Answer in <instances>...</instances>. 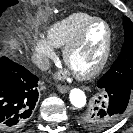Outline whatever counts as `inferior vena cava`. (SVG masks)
Instances as JSON below:
<instances>
[{
  "mask_svg": "<svg viewBox=\"0 0 133 133\" xmlns=\"http://www.w3.org/2000/svg\"><path fill=\"white\" fill-rule=\"evenodd\" d=\"M32 61L42 71H46L50 67L49 59L42 54H34L32 56Z\"/></svg>",
  "mask_w": 133,
  "mask_h": 133,
  "instance_id": "obj_1",
  "label": "inferior vena cava"
}]
</instances>
